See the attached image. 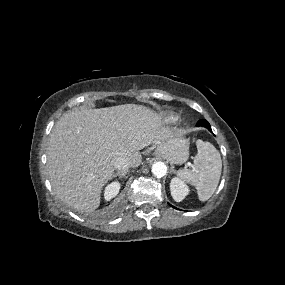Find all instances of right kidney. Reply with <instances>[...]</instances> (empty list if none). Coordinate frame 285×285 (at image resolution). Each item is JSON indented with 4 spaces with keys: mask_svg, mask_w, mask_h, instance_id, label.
<instances>
[{
    "mask_svg": "<svg viewBox=\"0 0 285 285\" xmlns=\"http://www.w3.org/2000/svg\"><path fill=\"white\" fill-rule=\"evenodd\" d=\"M120 183L119 182H112L110 183L104 190V198L106 201L114 198L120 190Z\"/></svg>",
    "mask_w": 285,
    "mask_h": 285,
    "instance_id": "ca27d5eb",
    "label": "right kidney"
}]
</instances>
